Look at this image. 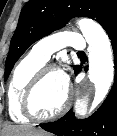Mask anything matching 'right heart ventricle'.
I'll return each instance as SVG.
<instances>
[{"label":"right heart ventricle","mask_w":117,"mask_h":136,"mask_svg":"<svg viewBox=\"0 0 117 136\" xmlns=\"http://www.w3.org/2000/svg\"><path fill=\"white\" fill-rule=\"evenodd\" d=\"M45 63L30 52L14 68L7 88V108L13 121L29 120L21 110L23 93L32 77Z\"/></svg>","instance_id":"1"}]
</instances>
